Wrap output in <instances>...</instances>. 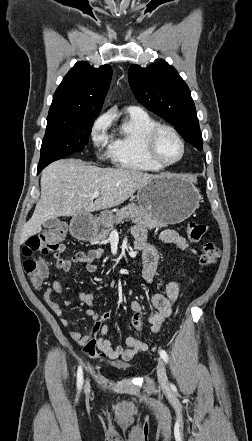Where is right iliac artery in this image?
Segmentation results:
<instances>
[{
  "label": "right iliac artery",
  "instance_id": "82829eb1",
  "mask_svg": "<svg viewBox=\"0 0 252 441\" xmlns=\"http://www.w3.org/2000/svg\"><path fill=\"white\" fill-rule=\"evenodd\" d=\"M82 384H83V371L81 366H79L78 371H77V387L78 390H80L82 388Z\"/></svg>",
  "mask_w": 252,
  "mask_h": 441
}]
</instances>
